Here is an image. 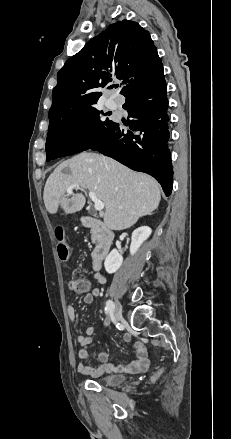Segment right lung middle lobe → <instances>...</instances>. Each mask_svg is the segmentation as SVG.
<instances>
[{"label":"right lung middle lobe","mask_w":231,"mask_h":439,"mask_svg":"<svg viewBox=\"0 0 231 439\" xmlns=\"http://www.w3.org/2000/svg\"><path fill=\"white\" fill-rule=\"evenodd\" d=\"M96 107L49 123L46 161L90 149L113 125Z\"/></svg>","instance_id":"dd1d6c3e"}]
</instances>
